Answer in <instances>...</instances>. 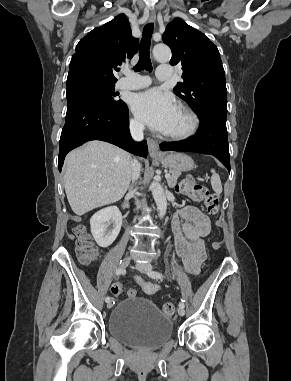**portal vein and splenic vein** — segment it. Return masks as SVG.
<instances>
[{
    "instance_id": "obj_1",
    "label": "portal vein and splenic vein",
    "mask_w": 291,
    "mask_h": 381,
    "mask_svg": "<svg viewBox=\"0 0 291 381\" xmlns=\"http://www.w3.org/2000/svg\"><path fill=\"white\" fill-rule=\"evenodd\" d=\"M170 177V174L169 173H166L165 174V178L168 179Z\"/></svg>"
}]
</instances>
